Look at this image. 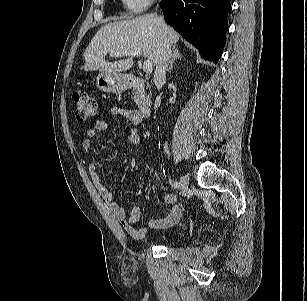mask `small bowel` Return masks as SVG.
I'll return each instance as SVG.
<instances>
[{"mask_svg":"<svg viewBox=\"0 0 307 301\" xmlns=\"http://www.w3.org/2000/svg\"><path fill=\"white\" fill-rule=\"evenodd\" d=\"M111 114L118 118L129 120L133 124V129L130 133V143L137 144L139 141V135L137 127L142 122V117L137 110L127 109L120 106H114L111 108ZM109 129V123L105 120H97L94 126L87 130V136L82 141V149L86 152H90L93 148V140L99 133H104ZM87 172L91 178L92 183L98 190L102 199L108 205L111 213L120 223L122 228L133 238L142 239L146 235L147 228L136 227L135 224L140 218V209L137 206H132L126 212L125 209L113 198V194L104 183L102 177L97 172L94 163L87 164ZM177 197L175 194L170 193L162 197V202L165 205L170 206L168 215L160 219H152L148 222V228L151 229H163L175 224L181 217V210L175 204Z\"/></svg>","mask_w":307,"mask_h":301,"instance_id":"small-bowel-1","label":"small bowel"}]
</instances>
